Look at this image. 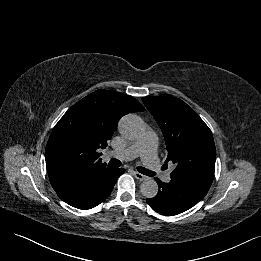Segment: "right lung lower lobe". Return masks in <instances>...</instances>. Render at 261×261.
<instances>
[{"label": "right lung lower lobe", "instance_id": "right-lung-lower-lobe-1", "mask_svg": "<svg viewBox=\"0 0 261 261\" xmlns=\"http://www.w3.org/2000/svg\"><path fill=\"white\" fill-rule=\"evenodd\" d=\"M123 168H107L95 175L56 191L60 199L82 210L91 209L104 201L111 193Z\"/></svg>", "mask_w": 261, "mask_h": 261}]
</instances>
